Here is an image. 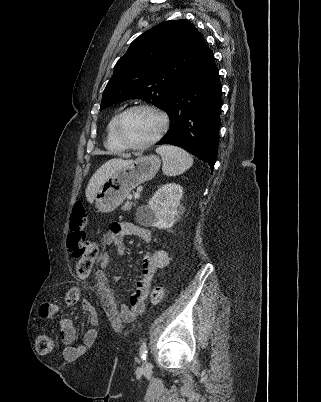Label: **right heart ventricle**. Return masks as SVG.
Returning a JSON list of instances; mask_svg holds the SVG:
<instances>
[{"mask_svg": "<svg viewBox=\"0 0 321 402\" xmlns=\"http://www.w3.org/2000/svg\"><path fill=\"white\" fill-rule=\"evenodd\" d=\"M117 116H118V114H114L107 123L106 138H105V143H104L106 149H108L109 151H111L115 154L122 153L125 150V148L119 143V141L115 135V131H114V125H115Z\"/></svg>", "mask_w": 321, "mask_h": 402, "instance_id": "1", "label": "right heart ventricle"}]
</instances>
